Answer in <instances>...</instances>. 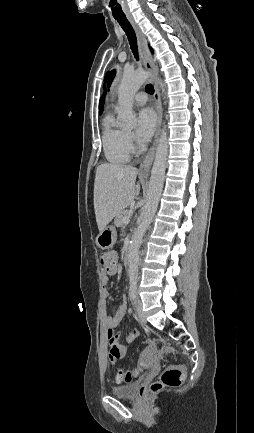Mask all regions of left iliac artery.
Listing matches in <instances>:
<instances>
[{"instance_id":"1","label":"left iliac artery","mask_w":254,"mask_h":433,"mask_svg":"<svg viewBox=\"0 0 254 433\" xmlns=\"http://www.w3.org/2000/svg\"><path fill=\"white\" fill-rule=\"evenodd\" d=\"M130 294L132 299H135L137 296V281L133 280L130 283Z\"/></svg>"}]
</instances>
